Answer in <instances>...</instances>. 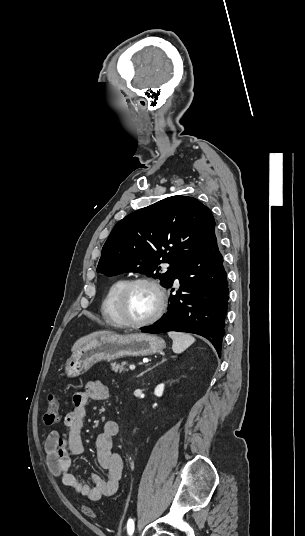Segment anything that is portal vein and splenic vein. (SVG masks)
<instances>
[{"label": "portal vein and splenic vein", "mask_w": 305, "mask_h": 536, "mask_svg": "<svg viewBox=\"0 0 305 536\" xmlns=\"http://www.w3.org/2000/svg\"><path fill=\"white\" fill-rule=\"evenodd\" d=\"M130 370H135V366H129Z\"/></svg>", "instance_id": "obj_1"}]
</instances>
